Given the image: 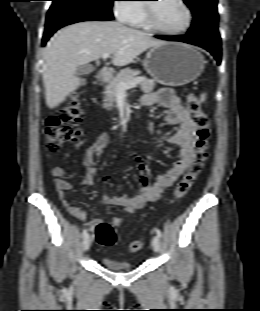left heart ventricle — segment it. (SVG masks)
<instances>
[{"label": "left heart ventricle", "instance_id": "1", "mask_svg": "<svg viewBox=\"0 0 260 311\" xmlns=\"http://www.w3.org/2000/svg\"><path fill=\"white\" fill-rule=\"evenodd\" d=\"M153 6L156 22L162 28L177 30L185 25L186 11L177 0H158Z\"/></svg>", "mask_w": 260, "mask_h": 311}]
</instances>
